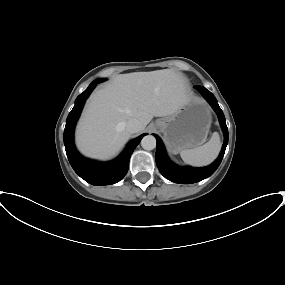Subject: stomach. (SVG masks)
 <instances>
[{"mask_svg": "<svg viewBox=\"0 0 285 285\" xmlns=\"http://www.w3.org/2000/svg\"><path fill=\"white\" fill-rule=\"evenodd\" d=\"M210 125V109L197 97L191 98L172 115L156 120V126L173 154L201 146L207 139Z\"/></svg>", "mask_w": 285, "mask_h": 285, "instance_id": "1", "label": "stomach"}]
</instances>
